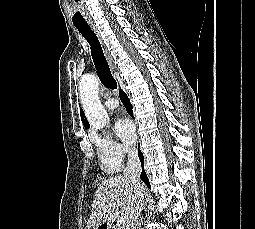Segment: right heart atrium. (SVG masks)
<instances>
[{
    "mask_svg": "<svg viewBox=\"0 0 255 229\" xmlns=\"http://www.w3.org/2000/svg\"><path fill=\"white\" fill-rule=\"evenodd\" d=\"M103 169L116 171L124 159L133 154L134 150L112 138L109 134L94 137Z\"/></svg>",
    "mask_w": 255,
    "mask_h": 229,
    "instance_id": "obj_1",
    "label": "right heart atrium"
}]
</instances>
